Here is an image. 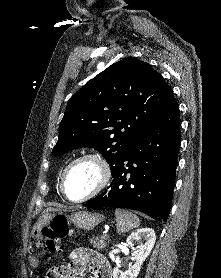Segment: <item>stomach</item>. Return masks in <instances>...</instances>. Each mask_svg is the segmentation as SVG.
<instances>
[{"instance_id":"stomach-1","label":"stomach","mask_w":221,"mask_h":278,"mask_svg":"<svg viewBox=\"0 0 221 278\" xmlns=\"http://www.w3.org/2000/svg\"><path fill=\"white\" fill-rule=\"evenodd\" d=\"M54 215L43 214L33 226L31 236L35 240L42 238V230L51 225ZM67 220L75 227L84 230H91L96 225L104 220V216L98 213H90L87 211H80L67 216ZM31 260L36 264L37 259L35 256H30ZM34 271H37V265H33Z\"/></svg>"}]
</instances>
